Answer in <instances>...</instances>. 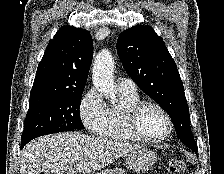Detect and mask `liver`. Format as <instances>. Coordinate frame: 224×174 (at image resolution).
<instances>
[{"label":"liver","mask_w":224,"mask_h":174,"mask_svg":"<svg viewBox=\"0 0 224 174\" xmlns=\"http://www.w3.org/2000/svg\"><path fill=\"white\" fill-rule=\"evenodd\" d=\"M139 147L73 132L43 136L22 149L20 173L90 174Z\"/></svg>","instance_id":"1"}]
</instances>
